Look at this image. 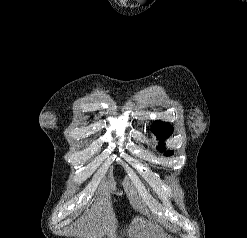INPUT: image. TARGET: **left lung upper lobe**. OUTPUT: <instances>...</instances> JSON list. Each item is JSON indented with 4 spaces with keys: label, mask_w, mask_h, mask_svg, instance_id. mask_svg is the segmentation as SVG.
<instances>
[{
    "label": "left lung upper lobe",
    "mask_w": 247,
    "mask_h": 238,
    "mask_svg": "<svg viewBox=\"0 0 247 238\" xmlns=\"http://www.w3.org/2000/svg\"><path fill=\"white\" fill-rule=\"evenodd\" d=\"M153 133L156 134L160 142H163L166 138H168L173 133V127L170 124L164 122H156L152 127ZM164 145V144H162ZM161 151H164V148H161ZM173 154V151H168L165 155L170 156Z\"/></svg>",
    "instance_id": "left-lung-upper-lobe-1"
}]
</instances>
